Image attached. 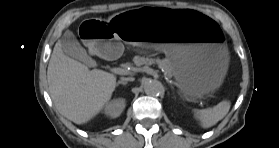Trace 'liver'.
<instances>
[{
	"label": "liver",
	"instance_id": "obj_1",
	"mask_svg": "<svg viewBox=\"0 0 279 148\" xmlns=\"http://www.w3.org/2000/svg\"><path fill=\"white\" fill-rule=\"evenodd\" d=\"M47 80L51 99L61 115L76 124H85L108 104L116 86V76L89 68L54 46Z\"/></svg>",
	"mask_w": 279,
	"mask_h": 148
}]
</instances>
